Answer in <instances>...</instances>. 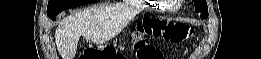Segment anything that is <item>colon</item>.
<instances>
[{"label": "colon", "mask_w": 261, "mask_h": 59, "mask_svg": "<svg viewBox=\"0 0 261 59\" xmlns=\"http://www.w3.org/2000/svg\"><path fill=\"white\" fill-rule=\"evenodd\" d=\"M141 34L162 38L169 43H181L188 39L193 29L186 24L170 22L160 18H149L143 22L140 30ZM136 57L138 59H162V52L152 44L142 38L135 42ZM79 59H119L121 55L111 47L103 49L87 47L78 57Z\"/></svg>", "instance_id": "1"}]
</instances>
